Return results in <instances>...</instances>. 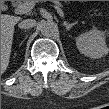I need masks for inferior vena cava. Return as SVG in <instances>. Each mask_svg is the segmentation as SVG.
<instances>
[{"mask_svg": "<svg viewBox=\"0 0 109 109\" xmlns=\"http://www.w3.org/2000/svg\"><path fill=\"white\" fill-rule=\"evenodd\" d=\"M36 24V21L33 19H24L19 23V28L28 29L34 27Z\"/></svg>", "mask_w": 109, "mask_h": 109, "instance_id": "602c4592", "label": "inferior vena cava"}]
</instances>
